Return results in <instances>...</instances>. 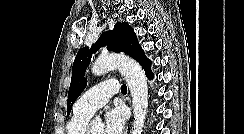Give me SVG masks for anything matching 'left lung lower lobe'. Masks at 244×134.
Returning <instances> with one entry per match:
<instances>
[{"label": "left lung lower lobe", "mask_w": 244, "mask_h": 134, "mask_svg": "<svg viewBox=\"0 0 244 134\" xmlns=\"http://www.w3.org/2000/svg\"><path fill=\"white\" fill-rule=\"evenodd\" d=\"M146 75L149 79L153 78V74L151 73L150 70H146Z\"/></svg>", "instance_id": "1"}]
</instances>
